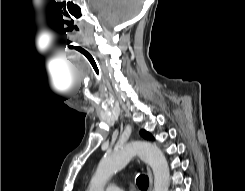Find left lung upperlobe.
I'll return each mask as SVG.
<instances>
[{"mask_svg":"<svg viewBox=\"0 0 245 191\" xmlns=\"http://www.w3.org/2000/svg\"><path fill=\"white\" fill-rule=\"evenodd\" d=\"M140 134L145 139H152V140L154 139L153 136L149 132H147L145 130H141Z\"/></svg>","mask_w":245,"mask_h":191,"instance_id":"1","label":"left lung upper lobe"}]
</instances>
